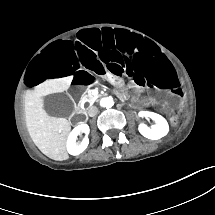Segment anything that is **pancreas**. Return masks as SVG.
<instances>
[{"label":"pancreas","instance_id":"obj_1","mask_svg":"<svg viewBox=\"0 0 215 215\" xmlns=\"http://www.w3.org/2000/svg\"><path fill=\"white\" fill-rule=\"evenodd\" d=\"M100 96H101L100 94L97 96H94L92 94V90L88 89L86 93L83 95L81 104L83 105L85 102H88L89 104H93Z\"/></svg>","mask_w":215,"mask_h":215}]
</instances>
